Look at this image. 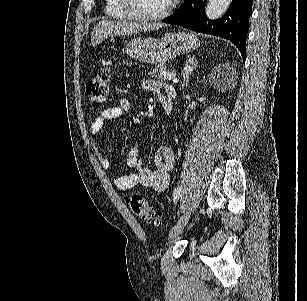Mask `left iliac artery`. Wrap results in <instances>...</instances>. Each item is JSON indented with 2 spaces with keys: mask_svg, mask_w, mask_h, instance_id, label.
Masks as SVG:
<instances>
[{
  "mask_svg": "<svg viewBox=\"0 0 307 301\" xmlns=\"http://www.w3.org/2000/svg\"><path fill=\"white\" fill-rule=\"evenodd\" d=\"M181 195V187H177L173 192V201L176 203V201L179 199Z\"/></svg>",
  "mask_w": 307,
  "mask_h": 301,
  "instance_id": "obj_1",
  "label": "left iliac artery"
}]
</instances>
